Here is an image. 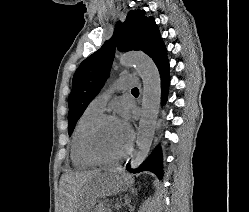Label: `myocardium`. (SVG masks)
Here are the masks:
<instances>
[{"label": "myocardium", "instance_id": "f54148a6", "mask_svg": "<svg viewBox=\"0 0 249 212\" xmlns=\"http://www.w3.org/2000/svg\"><path fill=\"white\" fill-rule=\"evenodd\" d=\"M108 121H118V118L113 115H101L97 117L86 129L83 139H82V153L84 157L94 165L99 166H110L119 163L124 158L128 156V154L132 150V139L133 136L131 134V140L129 145L124 153L113 158V159H103L100 158L93 149V139L98 128L105 122Z\"/></svg>", "mask_w": 249, "mask_h": 212}]
</instances>
